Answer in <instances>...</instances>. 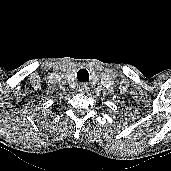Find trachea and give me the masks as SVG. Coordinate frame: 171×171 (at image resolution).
Returning a JSON list of instances; mask_svg holds the SVG:
<instances>
[{
    "mask_svg": "<svg viewBox=\"0 0 171 171\" xmlns=\"http://www.w3.org/2000/svg\"><path fill=\"white\" fill-rule=\"evenodd\" d=\"M77 79L78 81H88L89 80V73L86 69H80L77 72Z\"/></svg>",
    "mask_w": 171,
    "mask_h": 171,
    "instance_id": "obj_1",
    "label": "trachea"
}]
</instances>
